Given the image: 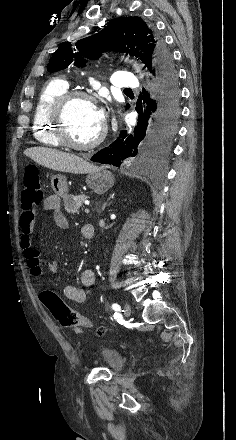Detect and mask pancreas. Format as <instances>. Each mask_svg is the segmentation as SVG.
<instances>
[{
  "instance_id": "cf45deb5",
  "label": "pancreas",
  "mask_w": 236,
  "mask_h": 440,
  "mask_svg": "<svg viewBox=\"0 0 236 440\" xmlns=\"http://www.w3.org/2000/svg\"><path fill=\"white\" fill-rule=\"evenodd\" d=\"M87 199L84 194L81 195H67L64 197V206L68 213H78L79 209L83 206V202Z\"/></svg>"
}]
</instances>
